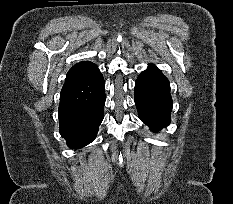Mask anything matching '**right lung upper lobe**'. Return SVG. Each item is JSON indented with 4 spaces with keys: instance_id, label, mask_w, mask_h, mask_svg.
<instances>
[{
    "instance_id": "obj_1",
    "label": "right lung upper lobe",
    "mask_w": 233,
    "mask_h": 204,
    "mask_svg": "<svg viewBox=\"0 0 233 204\" xmlns=\"http://www.w3.org/2000/svg\"><path fill=\"white\" fill-rule=\"evenodd\" d=\"M94 67H96V65L88 61L77 63L67 73L66 81L84 75L91 71Z\"/></svg>"
}]
</instances>
